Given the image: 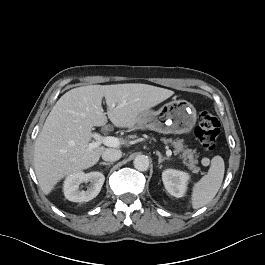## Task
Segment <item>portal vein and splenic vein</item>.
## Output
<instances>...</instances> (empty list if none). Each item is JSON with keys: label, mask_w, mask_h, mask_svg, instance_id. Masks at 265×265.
<instances>
[{"label": "portal vein and splenic vein", "mask_w": 265, "mask_h": 265, "mask_svg": "<svg viewBox=\"0 0 265 265\" xmlns=\"http://www.w3.org/2000/svg\"><path fill=\"white\" fill-rule=\"evenodd\" d=\"M93 138L95 139V141H93L89 144V147H88L89 150L97 148L102 144L105 146L114 147V148L120 146V140L116 137H113V136H102L98 133H93ZM166 155L171 156L172 151L170 149H168L166 151Z\"/></svg>", "instance_id": "18ae733b"}]
</instances>
